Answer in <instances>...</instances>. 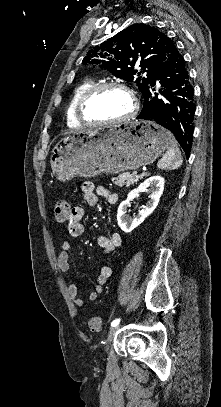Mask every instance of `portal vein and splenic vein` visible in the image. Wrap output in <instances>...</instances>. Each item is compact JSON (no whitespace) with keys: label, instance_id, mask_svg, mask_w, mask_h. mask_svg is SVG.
Here are the masks:
<instances>
[{"label":"portal vein and splenic vein","instance_id":"1","mask_svg":"<svg viewBox=\"0 0 221 407\" xmlns=\"http://www.w3.org/2000/svg\"><path fill=\"white\" fill-rule=\"evenodd\" d=\"M137 173H138L137 171H134V172H133L134 175H137Z\"/></svg>","mask_w":221,"mask_h":407}]
</instances>
